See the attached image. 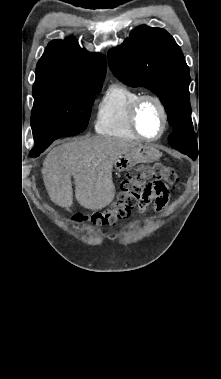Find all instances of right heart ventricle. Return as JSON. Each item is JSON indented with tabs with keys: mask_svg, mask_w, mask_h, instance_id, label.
<instances>
[{
	"mask_svg": "<svg viewBox=\"0 0 221 379\" xmlns=\"http://www.w3.org/2000/svg\"><path fill=\"white\" fill-rule=\"evenodd\" d=\"M141 92L121 83L112 84L99 104L95 130L105 136L136 140L129 121L130 108Z\"/></svg>",
	"mask_w": 221,
	"mask_h": 379,
	"instance_id": "right-heart-ventricle-1",
	"label": "right heart ventricle"
}]
</instances>
